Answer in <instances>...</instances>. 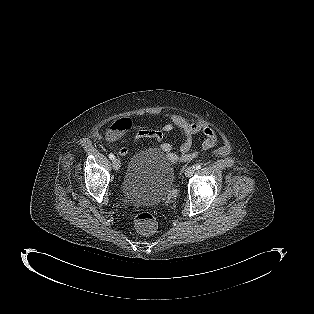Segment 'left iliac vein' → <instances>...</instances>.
<instances>
[{
  "mask_svg": "<svg viewBox=\"0 0 314 314\" xmlns=\"http://www.w3.org/2000/svg\"><path fill=\"white\" fill-rule=\"evenodd\" d=\"M194 172H195L194 166H189L185 170V176L186 177H191L194 174Z\"/></svg>",
  "mask_w": 314,
  "mask_h": 314,
  "instance_id": "left-iliac-vein-1",
  "label": "left iliac vein"
}]
</instances>
